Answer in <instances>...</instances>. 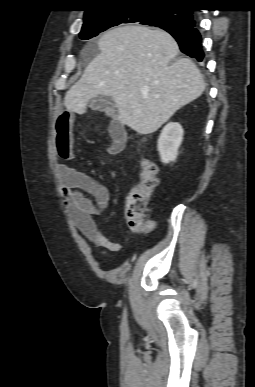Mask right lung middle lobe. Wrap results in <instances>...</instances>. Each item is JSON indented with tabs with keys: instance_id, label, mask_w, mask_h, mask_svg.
Wrapping results in <instances>:
<instances>
[{
	"instance_id": "right-lung-middle-lobe-1",
	"label": "right lung middle lobe",
	"mask_w": 255,
	"mask_h": 387,
	"mask_svg": "<svg viewBox=\"0 0 255 387\" xmlns=\"http://www.w3.org/2000/svg\"><path fill=\"white\" fill-rule=\"evenodd\" d=\"M134 22L161 28L184 26L187 24V19L181 9L142 6L112 8L84 17L80 38L87 40L110 27Z\"/></svg>"
}]
</instances>
